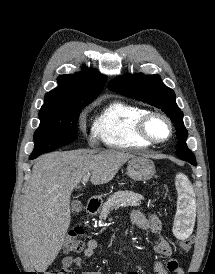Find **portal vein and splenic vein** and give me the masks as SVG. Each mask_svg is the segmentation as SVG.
I'll list each match as a JSON object with an SVG mask.
<instances>
[{"label":"portal vein and splenic vein","mask_w":215,"mask_h":274,"mask_svg":"<svg viewBox=\"0 0 215 274\" xmlns=\"http://www.w3.org/2000/svg\"><path fill=\"white\" fill-rule=\"evenodd\" d=\"M89 177H90V174H87V175H85V176L83 177L82 183H83L84 185L88 182Z\"/></svg>","instance_id":"portal-vein-and-splenic-vein-1"}]
</instances>
